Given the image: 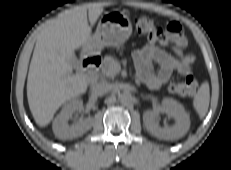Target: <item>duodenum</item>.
Listing matches in <instances>:
<instances>
[{
	"label": "duodenum",
	"instance_id": "obj_1",
	"mask_svg": "<svg viewBox=\"0 0 231 170\" xmlns=\"http://www.w3.org/2000/svg\"><path fill=\"white\" fill-rule=\"evenodd\" d=\"M101 64L102 58L99 55L86 54L82 59V67L86 71V74L91 82L95 79L96 72L100 68Z\"/></svg>",
	"mask_w": 231,
	"mask_h": 170
}]
</instances>
